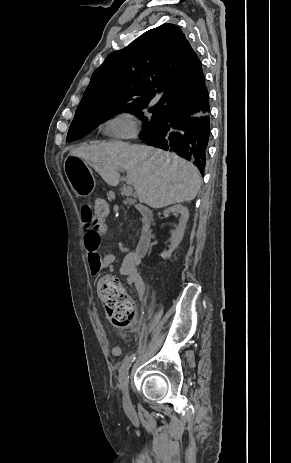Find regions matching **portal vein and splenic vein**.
Segmentation results:
<instances>
[{"label": "portal vein and splenic vein", "instance_id": "1", "mask_svg": "<svg viewBox=\"0 0 291 463\" xmlns=\"http://www.w3.org/2000/svg\"><path fill=\"white\" fill-rule=\"evenodd\" d=\"M123 193L126 195V196H131L133 194V188L132 186L128 185V186H125L123 188Z\"/></svg>", "mask_w": 291, "mask_h": 463}]
</instances>
